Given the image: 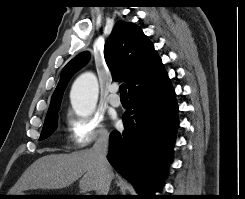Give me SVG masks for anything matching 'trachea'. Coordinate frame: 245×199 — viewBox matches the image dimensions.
<instances>
[{"mask_svg": "<svg viewBox=\"0 0 245 199\" xmlns=\"http://www.w3.org/2000/svg\"><path fill=\"white\" fill-rule=\"evenodd\" d=\"M119 91L121 93V96H127L126 86L125 84H121L119 87Z\"/></svg>", "mask_w": 245, "mask_h": 199, "instance_id": "1", "label": "trachea"}]
</instances>
